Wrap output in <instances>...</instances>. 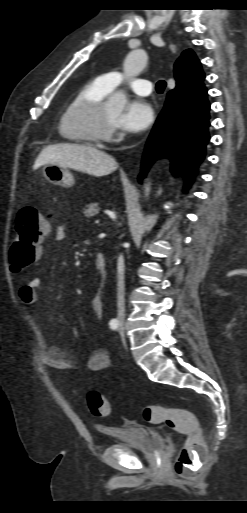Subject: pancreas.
I'll use <instances>...</instances> for the list:
<instances>
[{
	"label": "pancreas",
	"instance_id": "pancreas-1",
	"mask_svg": "<svg viewBox=\"0 0 247 513\" xmlns=\"http://www.w3.org/2000/svg\"><path fill=\"white\" fill-rule=\"evenodd\" d=\"M100 211L97 203H90L85 205L83 208V214L85 217L90 218L97 215Z\"/></svg>",
	"mask_w": 247,
	"mask_h": 513
}]
</instances>
